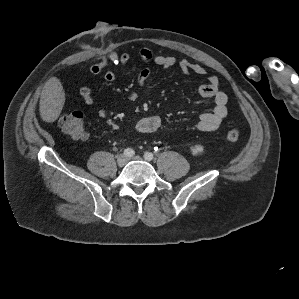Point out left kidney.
<instances>
[{
	"label": "left kidney",
	"instance_id": "obj_1",
	"mask_svg": "<svg viewBox=\"0 0 299 299\" xmlns=\"http://www.w3.org/2000/svg\"><path fill=\"white\" fill-rule=\"evenodd\" d=\"M204 151V147L202 145H195L191 147V152L193 155L201 154Z\"/></svg>",
	"mask_w": 299,
	"mask_h": 299
}]
</instances>
